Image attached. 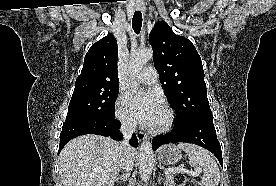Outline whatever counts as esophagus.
<instances>
[{
    "label": "esophagus",
    "instance_id": "1",
    "mask_svg": "<svg viewBox=\"0 0 276 186\" xmlns=\"http://www.w3.org/2000/svg\"><path fill=\"white\" fill-rule=\"evenodd\" d=\"M136 9L144 13L145 12V5H144V3L138 2L136 4ZM137 138H138V140L140 142L149 139V137L145 133H143V132H137Z\"/></svg>",
    "mask_w": 276,
    "mask_h": 186
}]
</instances>
